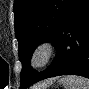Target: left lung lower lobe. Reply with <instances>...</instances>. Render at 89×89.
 <instances>
[{
    "mask_svg": "<svg viewBox=\"0 0 89 89\" xmlns=\"http://www.w3.org/2000/svg\"><path fill=\"white\" fill-rule=\"evenodd\" d=\"M54 46L57 48L54 61L44 71L37 73L30 85L66 74L89 78V0H71Z\"/></svg>",
    "mask_w": 89,
    "mask_h": 89,
    "instance_id": "left-lung-lower-lobe-1",
    "label": "left lung lower lobe"
}]
</instances>
